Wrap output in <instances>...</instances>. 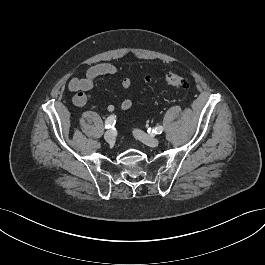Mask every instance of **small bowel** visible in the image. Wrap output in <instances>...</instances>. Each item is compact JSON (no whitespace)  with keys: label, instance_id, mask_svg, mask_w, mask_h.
I'll use <instances>...</instances> for the list:
<instances>
[{"label":"small bowel","instance_id":"1","mask_svg":"<svg viewBox=\"0 0 265 265\" xmlns=\"http://www.w3.org/2000/svg\"><path fill=\"white\" fill-rule=\"evenodd\" d=\"M118 72V68L111 63H100L93 65L88 69L86 75L83 78H72L68 83L69 91L75 93L72 98V102L77 107H82L90 100L89 91L93 88L96 80L102 76L115 75ZM120 85L123 89H130L132 86V80L130 78H124L121 80ZM131 99H124L120 103L121 110H128L132 107ZM108 112H113L115 106L109 104L107 106Z\"/></svg>","mask_w":265,"mask_h":265}]
</instances>
